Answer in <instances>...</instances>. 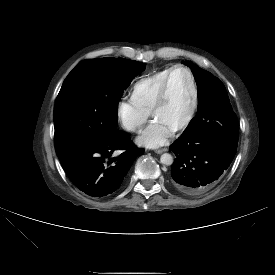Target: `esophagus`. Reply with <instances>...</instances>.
Here are the masks:
<instances>
[{"label":"esophagus","mask_w":275,"mask_h":275,"mask_svg":"<svg viewBox=\"0 0 275 275\" xmlns=\"http://www.w3.org/2000/svg\"><path fill=\"white\" fill-rule=\"evenodd\" d=\"M167 150H168L167 148L158 149V150H155V153L162 154L163 152H166Z\"/></svg>","instance_id":"obj_1"}]
</instances>
